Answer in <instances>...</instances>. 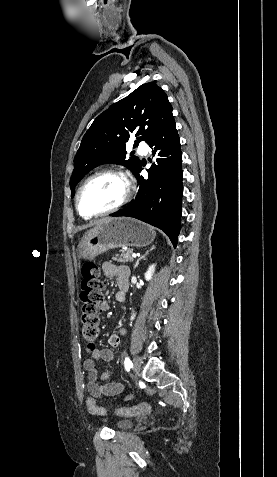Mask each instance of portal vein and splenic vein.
<instances>
[{"label": "portal vein and splenic vein", "mask_w": 277, "mask_h": 477, "mask_svg": "<svg viewBox=\"0 0 277 477\" xmlns=\"http://www.w3.org/2000/svg\"><path fill=\"white\" fill-rule=\"evenodd\" d=\"M132 257H133V258H136V257H137V254L133 252V253H132Z\"/></svg>", "instance_id": "obj_1"}]
</instances>
